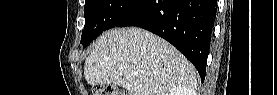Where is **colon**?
Wrapping results in <instances>:
<instances>
[{"label":"colon","instance_id":"colon-1","mask_svg":"<svg viewBox=\"0 0 277 95\" xmlns=\"http://www.w3.org/2000/svg\"><path fill=\"white\" fill-rule=\"evenodd\" d=\"M93 95H124L125 91L119 90L115 86L95 85L92 89Z\"/></svg>","mask_w":277,"mask_h":95}]
</instances>
